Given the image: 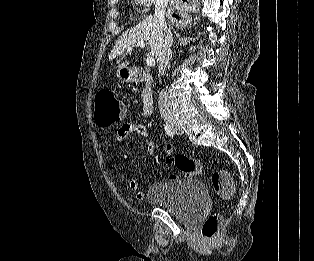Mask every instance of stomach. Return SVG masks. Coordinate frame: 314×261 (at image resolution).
Returning <instances> with one entry per match:
<instances>
[{
    "label": "stomach",
    "mask_w": 314,
    "mask_h": 261,
    "mask_svg": "<svg viewBox=\"0 0 314 261\" xmlns=\"http://www.w3.org/2000/svg\"><path fill=\"white\" fill-rule=\"evenodd\" d=\"M117 76L123 82H133L135 80L134 70L129 67L119 68Z\"/></svg>",
    "instance_id": "stomach-1"
}]
</instances>
